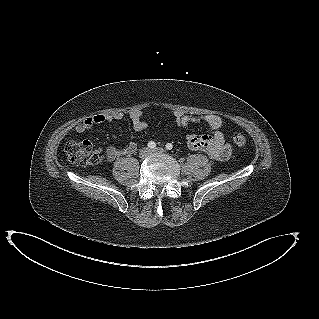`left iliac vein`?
<instances>
[{
  "instance_id": "left-iliac-vein-1",
  "label": "left iliac vein",
  "mask_w": 319,
  "mask_h": 319,
  "mask_svg": "<svg viewBox=\"0 0 319 319\" xmlns=\"http://www.w3.org/2000/svg\"><path fill=\"white\" fill-rule=\"evenodd\" d=\"M163 152H164V149L160 148V147H157V148L151 150V153H163Z\"/></svg>"
}]
</instances>
